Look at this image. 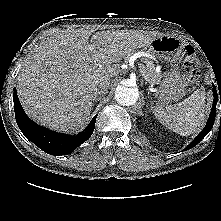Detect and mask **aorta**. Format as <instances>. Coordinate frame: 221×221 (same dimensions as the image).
<instances>
[{
	"mask_svg": "<svg viewBox=\"0 0 221 221\" xmlns=\"http://www.w3.org/2000/svg\"><path fill=\"white\" fill-rule=\"evenodd\" d=\"M139 97V91L134 87H126L124 85H119L115 91L116 101L125 106H130L136 103Z\"/></svg>",
	"mask_w": 221,
	"mask_h": 221,
	"instance_id": "1",
	"label": "aorta"
}]
</instances>
